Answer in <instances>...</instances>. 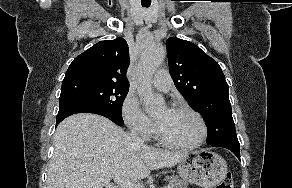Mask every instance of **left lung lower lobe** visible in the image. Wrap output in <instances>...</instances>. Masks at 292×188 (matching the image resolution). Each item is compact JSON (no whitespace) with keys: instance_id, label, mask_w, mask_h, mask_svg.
I'll return each mask as SVG.
<instances>
[{"instance_id":"left-lung-lower-lobe-1","label":"left lung lower lobe","mask_w":292,"mask_h":188,"mask_svg":"<svg viewBox=\"0 0 292 188\" xmlns=\"http://www.w3.org/2000/svg\"><path fill=\"white\" fill-rule=\"evenodd\" d=\"M208 145L213 147H223L229 149L237 156L238 159H240L239 152L240 144L236 134H230L228 136L222 137Z\"/></svg>"}]
</instances>
